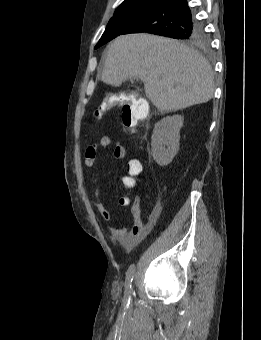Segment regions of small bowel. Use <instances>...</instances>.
Segmentation results:
<instances>
[{
  "label": "small bowel",
  "mask_w": 261,
  "mask_h": 340,
  "mask_svg": "<svg viewBox=\"0 0 261 340\" xmlns=\"http://www.w3.org/2000/svg\"><path fill=\"white\" fill-rule=\"evenodd\" d=\"M111 138L108 135H103L100 137L99 141L96 144L89 146L84 155V165L86 167H93L95 165L98 151L100 148L109 147L111 145ZM126 156V149L124 146L117 144L113 148V157L117 160L123 159ZM128 180H131L129 177L124 178V182L126 183ZM128 204V200L124 203ZM94 205L102 216V218L110 222L111 214L109 210L105 207V204L101 197V188L98 186L95 191L94 196ZM133 211V224L131 227H123V228H115L112 226H108V229L111 233L113 239L118 241L127 249H132L138 242H140L153 228L156 222V214L155 212L151 213L146 220L145 223L141 221V211L139 207L138 201H134L132 206Z\"/></svg>",
  "instance_id": "1"
}]
</instances>
